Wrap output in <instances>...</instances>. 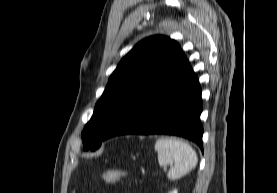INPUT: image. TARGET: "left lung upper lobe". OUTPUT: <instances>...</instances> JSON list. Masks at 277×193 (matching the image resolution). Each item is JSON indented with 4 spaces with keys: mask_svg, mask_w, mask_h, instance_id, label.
<instances>
[{
    "mask_svg": "<svg viewBox=\"0 0 277 193\" xmlns=\"http://www.w3.org/2000/svg\"><path fill=\"white\" fill-rule=\"evenodd\" d=\"M188 62L179 44L165 36L139 42L110 76L93 116L84 127V149L96 150L107 133L140 98L163 83Z\"/></svg>",
    "mask_w": 277,
    "mask_h": 193,
    "instance_id": "left-lung-upper-lobe-1",
    "label": "left lung upper lobe"
}]
</instances>
